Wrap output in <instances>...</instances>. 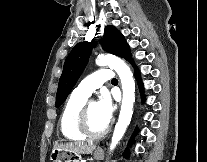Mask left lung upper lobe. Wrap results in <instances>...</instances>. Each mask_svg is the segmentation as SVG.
Wrapping results in <instances>:
<instances>
[{
    "label": "left lung upper lobe",
    "mask_w": 207,
    "mask_h": 162,
    "mask_svg": "<svg viewBox=\"0 0 207 162\" xmlns=\"http://www.w3.org/2000/svg\"><path fill=\"white\" fill-rule=\"evenodd\" d=\"M102 43L104 50L107 52L123 57L127 61L132 60L130 49L124 36L114 26L109 25L105 27ZM91 50L92 42H80L72 49L66 58L58 85L56 107H59L64 102L75 85L88 62Z\"/></svg>",
    "instance_id": "1"
}]
</instances>
